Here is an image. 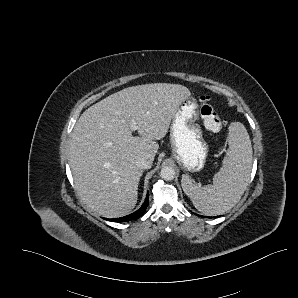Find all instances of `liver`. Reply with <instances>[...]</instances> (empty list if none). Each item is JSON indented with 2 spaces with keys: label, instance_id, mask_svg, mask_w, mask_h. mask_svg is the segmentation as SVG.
I'll return each mask as SVG.
<instances>
[{
  "label": "liver",
  "instance_id": "1",
  "mask_svg": "<svg viewBox=\"0 0 298 298\" xmlns=\"http://www.w3.org/2000/svg\"><path fill=\"white\" fill-rule=\"evenodd\" d=\"M191 95L179 83L129 86L86 109L71 136L74 186L83 202L107 218L127 215L137 203L140 157L154 161L172 115ZM128 116L139 136H131Z\"/></svg>",
  "mask_w": 298,
  "mask_h": 298
}]
</instances>
